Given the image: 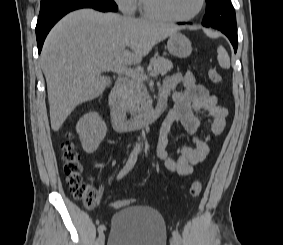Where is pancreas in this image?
I'll return each instance as SVG.
<instances>
[{
    "mask_svg": "<svg viewBox=\"0 0 283 245\" xmlns=\"http://www.w3.org/2000/svg\"><path fill=\"white\" fill-rule=\"evenodd\" d=\"M150 65L155 71L166 74L173 68V64L170 60L157 57L150 60ZM150 105L149 95L144 85V80L139 78H131L124 84L121 106L124 112L129 111L131 113L145 109Z\"/></svg>",
    "mask_w": 283,
    "mask_h": 245,
    "instance_id": "obj_1",
    "label": "pancreas"
}]
</instances>
